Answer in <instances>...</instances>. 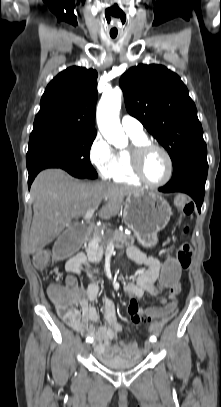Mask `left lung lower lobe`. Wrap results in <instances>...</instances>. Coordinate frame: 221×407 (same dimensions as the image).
<instances>
[{
    "label": "left lung lower lobe",
    "instance_id": "1",
    "mask_svg": "<svg viewBox=\"0 0 221 407\" xmlns=\"http://www.w3.org/2000/svg\"><path fill=\"white\" fill-rule=\"evenodd\" d=\"M207 172V155L191 158L173 172L172 179L159 188V191L164 193L183 192L190 195L200 212L205 194Z\"/></svg>",
    "mask_w": 221,
    "mask_h": 407
}]
</instances>
